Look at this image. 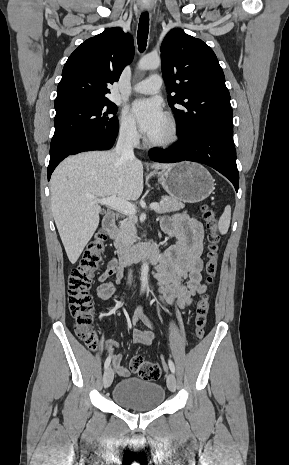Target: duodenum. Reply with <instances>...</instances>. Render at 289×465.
Segmentation results:
<instances>
[{
  "instance_id": "duodenum-1",
  "label": "duodenum",
  "mask_w": 289,
  "mask_h": 465,
  "mask_svg": "<svg viewBox=\"0 0 289 465\" xmlns=\"http://www.w3.org/2000/svg\"><path fill=\"white\" fill-rule=\"evenodd\" d=\"M103 227L110 238L116 235V218L113 212H108L103 218ZM161 254L153 245H137L133 247H120L117 257L121 266L125 267L134 262L148 259L153 263L160 260Z\"/></svg>"
}]
</instances>
